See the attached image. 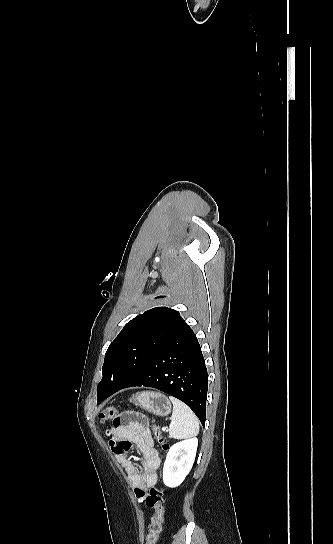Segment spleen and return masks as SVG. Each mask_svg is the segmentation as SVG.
Segmentation results:
<instances>
[{
	"instance_id": "3e777b00",
	"label": "spleen",
	"mask_w": 333,
	"mask_h": 544,
	"mask_svg": "<svg viewBox=\"0 0 333 544\" xmlns=\"http://www.w3.org/2000/svg\"><path fill=\"white\" fill-rule=\"evenodd\" d=\"M173 412L169 427L170 436L183 439L195 436L199 432V422L193 411L182 401L170 396Z\"/></svg>"
}]
</instances>
